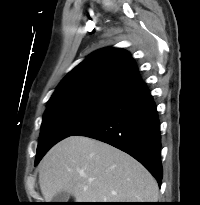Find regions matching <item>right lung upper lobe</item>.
Returning a JSON list of instances; mask_svg holds the SVG:
<instances>
[{"instance_id": "cb5924a9", "label": "right lung upper lobe", "mask_w": 200, "mask_h": 205, "mask_svg": "<svg viewBox=\"0 0 200 205\" xmlns=\"http://www.w3.org/2000/svg\"><path fill=\"white\" fill-rule=\"evenodd\" d=\"M140 82L137 67L130 53L119 48L98 50L62 80L48 106L77 97L116 100Z\"/></svg>"}]
</instances>
